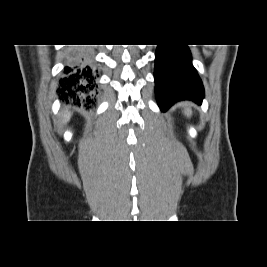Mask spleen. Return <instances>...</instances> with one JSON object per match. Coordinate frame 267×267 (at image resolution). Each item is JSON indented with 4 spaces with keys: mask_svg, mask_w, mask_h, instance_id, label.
I'll list each match as a JSON object with an SVG mask.
<instances>
[{
    "mask_svg": "<svg viewBox=\"0 0 267 267\" xmlns=\"http://www.w3.org/2000/svg\"><path fill=\"white\" fill-rule=\"evenodd\" d=\"M184 113L189 117L191 115V109L189 107L185 108Z\"/></svg>",
    "mask_w": 267,
    "mask_h": 267,
    "instance_id": "1",
    "label": "spleen"
}]
</instances>
